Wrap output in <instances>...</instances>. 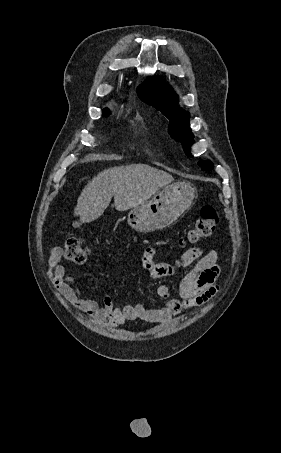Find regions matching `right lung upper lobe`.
<instances>
[{
  "mask_svg": "<svg viewBox=\"0 0 281 453\" xmlns=\"http://www.w3.org/2000/svg\"><path fill=\"white\" fill-rule=\"evenodd\" d=\"M103 114H104V116H105V115H108V114H109V109L105 108V109L103 110Z\"/></svg>",
  "mask_w": 281,
  "mask_h": 453,
  "instance_id": "right-lung-upper-lobe-1",
  "label": "right lung upper lobe"
}]
</instances>
